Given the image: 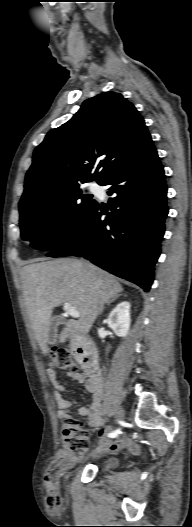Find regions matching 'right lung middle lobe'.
<instances>
[{"mask_svg": "<svg viewBox=\"0 0 192 527\" xmlns=\"http://www.w3.org/2000/svg\"><path fill=\"white\" fill-rule=\"evenodd\" d=\"M97 202L81 186L47 201L19 206L23 240L40 250H53L77 232Z\"/></svg>", "mask_w": 192, "mask_h": 527, "instance_id": "right-lung-middle-lobe-1", "label": "right lung middle lobe"}]
</instances>
